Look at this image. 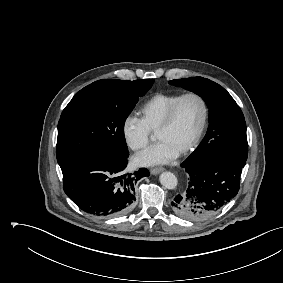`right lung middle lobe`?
<instances>
[{"label": "right lung middle lobe", "mask_w": 283, "mask_h": 283, "mask_svg": "<svg viewBox=\"0 0 283 283\" xmlns=\"http://www.w3.org/2000/svg\"><path fill=\"white\" fill-rule=\"evenodd\" d=\"M153 83V79L99 80L77 92L58 123L60 167L90 153L128 155L125 120Z\"/></svg>", "instance_id": "1"}]
</instances>
